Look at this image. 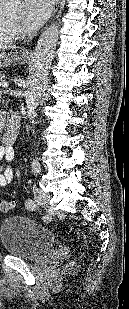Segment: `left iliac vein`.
I'll return each instance as SVG.
<instances>
[{
  "mask_svg": "<svg viewBox=\"0 0 129 309\" xmlns=\"http://www.w3.org/2000/svg\"><path fill=\"white\" fill-rule=\"evenodd\" d=\"M34 195H35L37 204L39 206H42L46 210V212L48 213L49 216L54 215L55 211L53 210V208L49 204V200H50V197H51L50 194L41 190L40 188H38L35 185Z\"/></svg>",
  "mask_w": 129,
  "mask_h": 309,
  "instance_id": "1",
  "label": "left iliac vein"
}]
</instances>
